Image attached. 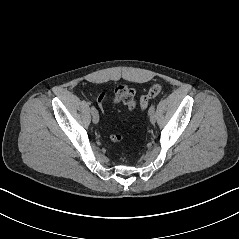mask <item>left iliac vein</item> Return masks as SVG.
Returning <instances> with one entry per match:
<instances>
[{
    "mask_svg": "<svg viewBox=\"0 0 239 239\" xmlns=\"http://www.w3.org/2000/svg\"><path fill=\"white\" fill-rule=\"evenodd\" d=\"M150 122L155 123L156 122V113L155 111L149 114Z\"/></svg>",
    "mask_w": 239,
    "mask_h": 239,
    "instance_id": "obj_1",
    "label": "left iliac vein"
}]
</instances>
